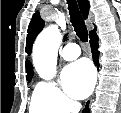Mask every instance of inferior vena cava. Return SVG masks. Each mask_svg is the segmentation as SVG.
<instances>
[{
	"label": "inferior vena cava",
	"instance_id": "inferior-vena-cava-1",
	"mask_svg": "<svg viewBox=\"0 0 121 113\" xmlns=\"http://www.w3.org/2000/svg\"><path fill=\"white\" fill-rule=\"evenodd\" d=\"M71 108H72V113H79L81 105L78 102H73L71 104Z\"/></svg>",
	"mask_w": 121,
	"mask_h": 113
}]
</instances>
